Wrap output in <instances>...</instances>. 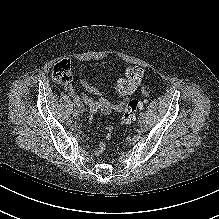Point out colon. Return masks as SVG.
Returning a JSON list of instances; mask_svg holds the SVG:
<instances>
[{
  "mask_svg": "<svg viewBox=\"0 0 219 219\" xmlns=\"http://www.w3.org/2000/svg\"><path fill=\"white\" fill-rule=\"evenodd\" d=\"M53 79L61 84L68 83L72 78V65L70 60L62 59L57 62L52 70ZM143 78V71L139 67H130L126 70V77L117 82L115 86V92L122 97L131 96L140 85ZM141 106V102L137 99H128L126 103H123L120 107L122 116L120 119L121 125H128L132 123L136 117L138 108ZM100 110L102 112H111L112 107L109 102L105 101ZM92 115V113H91Z\"/></svg>",
  "mask_w": 219,
  "mask_h": 219,
  "instance_id": "1",
  "label": "colon"
}]
</instances>
